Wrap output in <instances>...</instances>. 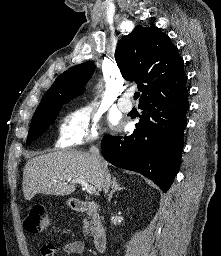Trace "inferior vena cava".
I'll list each match as a JSON object with an SVG mask.
<instances>
[{
    "label": "inferior vena cava",
    "instance_id": "inferior-vena-cava-1",
    "mask_svg": "<svg viewBox=\"0 0 221 256\" xmlns=\"http://www.w3.org/2000/svg\"><path fill=\"white\" fill-rule=\"evenodd\" d=\"M90 153L93 156V158L98 162L100 169L102 170V177H101V182H102V187L105 192V194L108 193V190L111 185V177L108 171L105 169L103 163L101 162V156L100 152L97 146L93 145L90 148Z\"/></svg>",
    "mask_w": 221,
    "mask_h": 256
}]
</instances>
